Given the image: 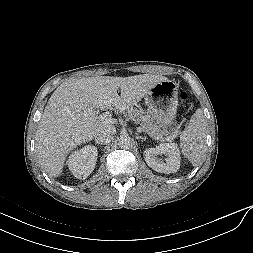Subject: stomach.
Returning a JSON list of instances; mask_svg holds the SVG:
<instances>
[{"instance_id": "stomach-1", "label": "stomach", "mask_w": 253, "mask_h": 253, "mask_svg": "<svg viewBox=\"0 0 253 253\" xmlns=\"http://www.w3.org/2000/svg\"><path fill=\"white\" fill-rule=\"evenodd\" d=\"M145 103L157 124L167 129L177 113V83L168 79L158 82L145 96Z\"/></svg>"}]
</instances>
